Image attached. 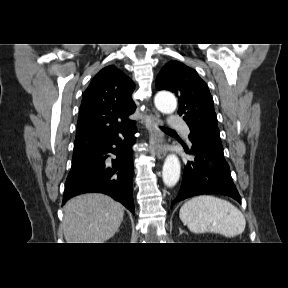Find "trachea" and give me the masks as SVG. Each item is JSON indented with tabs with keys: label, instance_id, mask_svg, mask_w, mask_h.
I'll return each instance as SVG.
<instances>
[{
	"label": "trachea",
	"instance_id": "obj_1",
	"mask_svg": "<svg viewBox=\"0 0 288 288\" xmlns=\"http://www.w3.org/2000/svg\"><path fill=\"white\" fill-rule=\"evenodd\" d=\"M161 129H163L164 131H174V130H172V129L165 128V127H161Z\"/></svg>",
	"mask_w": 288,
	"mask_h": 288
}]
</instances>
